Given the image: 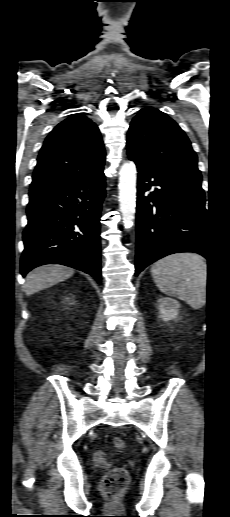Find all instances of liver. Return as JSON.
<instances>
[{
    "instance_id": "1",
    "label": "liver",
    "mask_w": 230,
    "mask_h": 517,
    "mask_svg": "<svg viewBox=\"0 0 230 517\" xmlns=\"http://www.w3.org/2000/svg\"><path fill=\"white\" fill-rule=\"evenodd\" d=\"M74 270L63 265H43L33 269L26 276L25 293L30 296L70 278Z\"/></svg>"
}]
</instances>
